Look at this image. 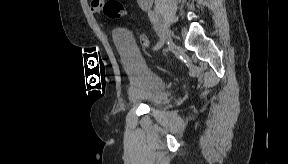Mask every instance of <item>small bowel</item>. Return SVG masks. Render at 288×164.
<instances>
[{
    "label": "small bowel",
    "mask_w": 288,
    "mask_h": 164,
    "mask_svg": "<svg viewBox=\"0 0 288 164\" xmlns=\"http://www.w3.org/2000/svg\"><path fill=\"white\" fill-rule=\"evenodd\" d=\"M140 6H141V8L145 9L147 7V2L146 1H142Z\"/></svg>",
    "instance_id": "c3829d8e"
}]
</instances>
